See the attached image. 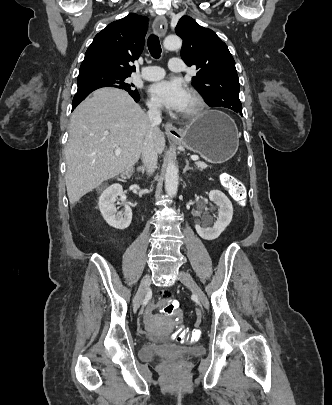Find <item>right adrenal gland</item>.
Masks as SVG:
<instances>
[{
  "label": "right adrenal gland",
  "instance_id": "2a0ac1e0",
  "mask_svg": "<svg viewBox=\"0 0 332 405\" xmlns=\"http://www.w3.org/2000/svg\"><path fill=\"white\" fill-rule=\"evenodd\" d=\"M137 171H138V172H141L142 174H144L145 168H144L143 166H140V167L137 168Z\"/></svg>",
  "mask_w": 332,
  "mask_h": 405
}]
</instances>
